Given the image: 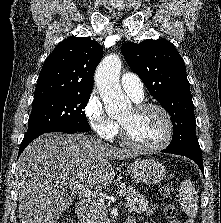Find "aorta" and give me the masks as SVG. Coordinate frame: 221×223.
Masks as SVG:
<instances>
[{
	"mask_svg": "<svg viewBox=\"0 0 221 223\" xmlns=\"http://www.w3.org/2000/svg\"><path fill=\"white\" fill-rule=\"evenodd\" d=\"M122 63L119 56L105 57L95 72V84L109 116H118L131 107L130 100L122 92L119 75Z\"/></svg>",
	"mask_w": 221,
	"mask_h": 223,
	"instance_id": "aorta-1",
	"label": "aorta"
}]
</instances>
